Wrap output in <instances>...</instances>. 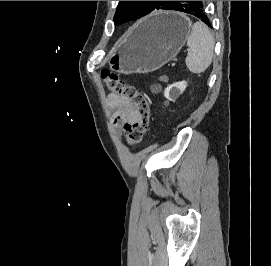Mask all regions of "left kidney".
Instances as JSON below:
<instances>
[{"label": "left kidney", "instance_id": "1", "mask_svg": "<svg viewBox=\"0 0 271 266\" xmlns=\"http://www.w3.org/2000/svg\"><path fill=\"white\" fill-rule=\"evenodd\" d=\"M186 88L185 84L183 82H179V83H175L172 84L171 86H169L166 90H165V97L169 100H174L175 97L170 95V92H174L177 90H181L183 91Z\"/></svg>", "mask_w": 271, "mask_h": 266}]
</instances>
